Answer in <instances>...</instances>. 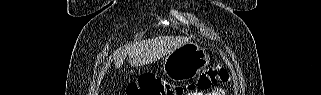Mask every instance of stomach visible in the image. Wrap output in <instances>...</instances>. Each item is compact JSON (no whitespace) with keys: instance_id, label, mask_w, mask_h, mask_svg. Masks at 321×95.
<instances>
[{"instance_id":"1","label":"stomach","mask_w":321,"mask_h":95,"mask_svg":"<svg viewBox=\"0 0 321 95\" xmlns=\"http://www.w3.org/2000/svg\"><path fill=\"white\" fill-rule=\"evenodd\" d=\"M210 64V57L205 49L196 43H186L171 53L163 62V72L172 81H186L197 76Z\"/></svg>"}]
</instances>
